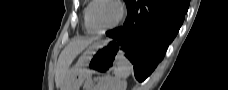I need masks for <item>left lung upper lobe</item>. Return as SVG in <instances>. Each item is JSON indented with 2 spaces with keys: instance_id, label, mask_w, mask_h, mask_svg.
Masks as SVG:
<instances>
[{
  "instance_id": "obj_1",
  "label": "left lung upper lobe",
  "mask_w": 228,
  "mask_h": 90,
  "mask_svg": "<svg viewBox=\"0 0 228 90\" xmlns=\"http://www.w3.org/2000/svg\"><path fill=\"white\" fill-rule=\"evenodd\" d=\"M125 1V3H127L128 2V0H124Z\"/></svg>"
}]
</instances>
